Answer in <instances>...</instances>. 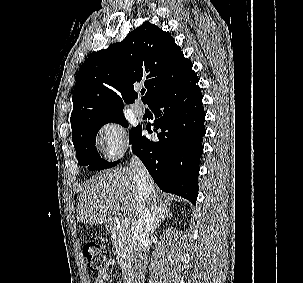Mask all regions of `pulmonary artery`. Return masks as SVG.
<instances>
[{
    "label": "pulmonary artery",
    "instance_id": "pulmonary-artery-1",
    "mask_svg": "<svg viewBox=\"0 0 303 283\" xmlns=\"http://www.w3.org/2000/svg\"><path fill=\"white\" fill-rule=\"evenodd\" d=\"M133 112L135 113L136 116L141 117L144 115L145 109L140 103H136L133 106Z\"/></svg>",
    "mask_w": 303,
    "mask_h": 283
}]
</instances>
